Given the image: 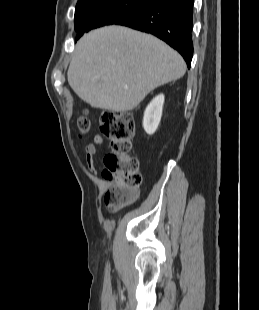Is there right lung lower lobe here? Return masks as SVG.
Returning a JSON list of instances; mask_svg holds the SVG:
<instances>
[{
  "instance_id": "1",
  "label": "right lung lower lobe",
  "mask_w": 259,
  "mask_h": 310,
  "mask_svg": "<svg viewBox=\"0 0 259 310\" xmlns=\"http://www.w3.org/2000/svg\"><path fill=\"white\" fill-rule=\"evenodd\" d=\"M192 20L193 0H156L115 24L157 36L177 50L190 67L193 56Z\"/></svg>"
}]
</instances>
